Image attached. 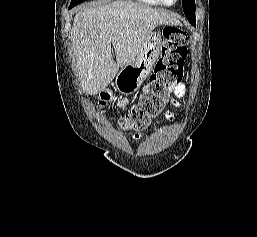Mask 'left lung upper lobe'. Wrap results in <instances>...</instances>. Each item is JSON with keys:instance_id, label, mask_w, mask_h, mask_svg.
<instances>
[{"instance_id": "1", "label": "left lung upper lobe", "mask_w": 257, "mask_h": 237, "mask_svg": "<svg viewBox=\"0 0 257 237\" xmlns=\"http://www.w3.org/2000/svg\"><path fill=\"white\" fill-rule=\"evenodd\" d=\"M182 7L186 18L190 23H195V0H182Z\"/></svg>"}]
</instances>
